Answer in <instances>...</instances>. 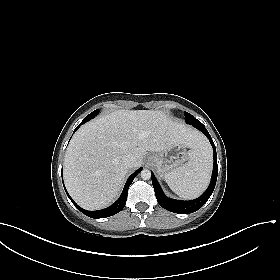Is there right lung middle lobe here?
I'll use <instances>...</instances> for the list:
<instances>
[{"label": "right lung middle lobe", "mask_w": 280, "mask_h": 280, "mask_svg": "<svg viewBox=\"0 0 280 280\" xmlns=\"http://www.w3.org/2000/svg\"><path fill=\"white\" fill-rule=\"evenodd\" d=\"M97 114H98V110H95V111H93L92 113H90L87 117H88L89 119H92V118H94Z\"/></svg>", "instance_id": "1"}]
</instances>
